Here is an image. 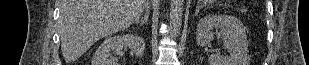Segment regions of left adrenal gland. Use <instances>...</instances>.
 <instances>
[{"label": "left adrenal gland", "instance_id": "left-adrenal-gland-1", "mask_svg": "<svg viewBox=\"0 0 309 65\" xmlns=\"http://www.w3.org/2000/svg\"><path fill=\"white\" fill-rule=\"evenodd\" d=\"M199 10H200V7H199V6H197L196 11H195V16H197V15H198Z\"/></svg>", "mask_w": 309, "mask_h": 65}]
</instances>
